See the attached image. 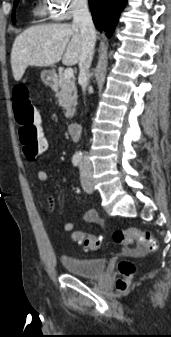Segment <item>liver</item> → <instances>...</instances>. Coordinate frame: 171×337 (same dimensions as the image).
Segmentation results:
<instances>
[{
  "mask_svg": "<svg viewBox=\"0 0 171 337\" xmlns=\"http://www.w3.org/2000/svg\"><path fill=\"white\" fill-rule=\"evenodd\" d=\"M80 29L73 24L32 26L19 34L11 50L13 77L19 81L28 66L47 67L62 59L75 65L81 57Z\"/></svg>",
  "mask_w": 171,
  "mask_h": 337,
  "instance_id": "1",
  "label": "liver"
}]
</instances>
